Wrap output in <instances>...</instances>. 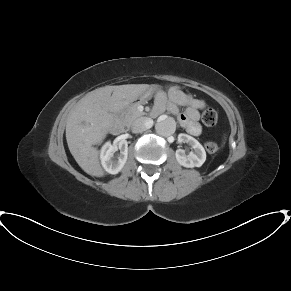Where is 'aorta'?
<instances>
[{
  "label": "aorta",
  "instance_id": "aorta-1",
  "mask_svg": "<svg viewBox=\"0 0 291 291\" xmlns=\"http://www.w3.org/2000/svg\"><path fill=\"white\" fill-rule=\"evenodd\" d=\"M156 132L161 136H170L176 130V122L172 117L160 116L155 125Z\"/></svg>",
  "mask_w": 291,
  "mask_h": 291
}]
</instances>
